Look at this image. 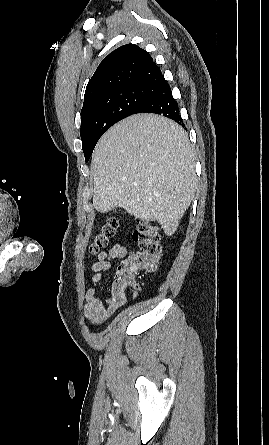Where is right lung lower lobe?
<instances>
[{"mask_svg":"<svg viewBox=\"0 0 269 445\" xmlns=\"http://www.w3.org/2000/svg\"><path fill=\"white\" fill-rule=\"evenodd\" d=\"M155 88L156 95L143 104L136 113L161 114L181 124L178 103L172 96L169 84L163 78Z\"/></svg>","mask_w":269,"mask_h":445,"instance_id":"98d812e1","label":"right lung lower lobe"}]
</instances>
